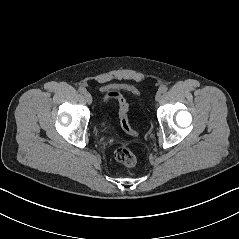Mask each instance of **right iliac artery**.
Returning <instances> with one entry per match:
<instances>
[{"label":"right iliac artery","mask_w":239,"mask_h":239,"mask_svg":"<svg viewBox=\"0 0 239 239\" xmlns=\"http://www.w3.org/2000/svg\"><path fill=\"white\" fill-rule=\"evenodd\" d=\"M78 90H79L80 93H85L86 92V89L84 87H79Z\"/></svg>","instance_id":"82829eb1"}]
</instances>
